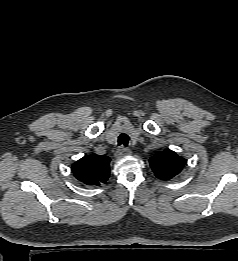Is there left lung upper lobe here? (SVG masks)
<instances>
[{"mask_svg": "<svg viewBox=\"0 0 238 261\" xmlns=\"http://www.w3.org/2000/svg\"><path fill=\"white\" fill-rule=\"evenodd\" d=\"M149 161L156 177L161 180L172 179L180 173L186 164L184 158L170 149L156 153Z\"/></svg>", "mask_w": 238, "mask_h": 261, "instance_id": "obj_1", "label": "left lung upper lobe"}]
</instances>
